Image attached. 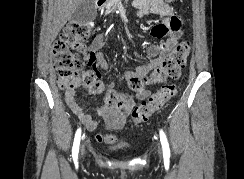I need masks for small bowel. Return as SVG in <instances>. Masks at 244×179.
<instances>
[{
  "instance_id": "small-bowel-1",
  "label": "small bowel",
  "mask_w": 244,
  "mask_h": 179,
  "mask_svg": "<svg viewBox=\"0 0 244 179\" xmlns=\"http://www.w3.org/2000/svg\"><path fill=\"white\" fill-rule=\"evenodd\" d=\"M136 9L135 16L141 18L148 14H155L161 18V21L154 24L150 29V35L154 38L164 39L159 44H151L146 47L144 54L148 58V62L139 65L135 69H126L123 71L118 80H111L110 85L114 86L118 81L128 80L133 76H146L151 71L160 66L166 59L171 49L178 43L181 37V20L175 14L172 7L163 0H137L134 2ZM107 41L106 34H98L95 36L87 49V54L96 62V65L102 71H109L110 65L106 60L101 48ZM138 56V54H135ZM79 85V84H78ZM78 89L65 90L64 99L70 110L84 124L88 130H94L97 127V122L87 114L76 99ZM117 95L122 99H128L129 96L124 92H117ZM147 93H144L136 98H129L128 108L122 114L108 112L104 107H98L96 113L102 118L104 126L107 129L121 130L127 116L136 105L137 99L144 98ZM97 139L105 144H114L118 141L115 134L104 133L99 134Z\"/></svg>"
}]
</instances>
